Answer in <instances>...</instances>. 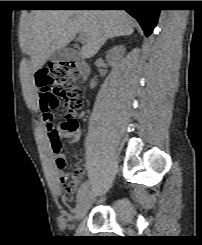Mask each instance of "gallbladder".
Masks as SVG:
<instances>
[{"instance_id": "1", "label": "gallbladder", "mask_w": 202, "mask_h": 245, "mask_svg": "<svg viewBox=\"0 0 202 245\" xmlns=\"http://www.w3.org/2000/svg\"><path fill=\"white\" fill-rule=\"evenodd\" d=\"M78 52L70 47H63L51 55L52 62L73 61L78 57Z\"/></svg>"}]
</instances>
